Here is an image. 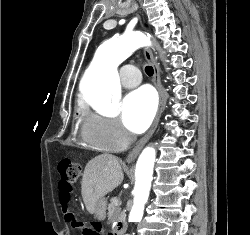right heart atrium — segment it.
Listing matches in <instances>:
<instances>
[{
  "mask_svg": "<svg viewBox=\"0 0 250 235\" xmlns=\"http://www.w3.org/2000/svg\"><path fill=\"white\" fill-rule=\"evenodd\" d=\"M85 135L97 147L119 151L131 142V135L112 116L90 113L86 117Z\"/></svg>",
  "mask_w": 250,
  "mask_h": 235,
  "instance_id": "right-heart-atrium-1",
  "label": "right heart atrium"
}]
</instances>
